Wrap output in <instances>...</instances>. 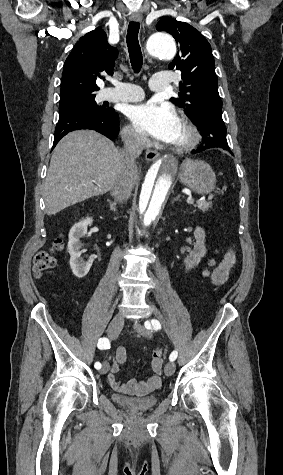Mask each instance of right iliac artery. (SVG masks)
I'll list each match as a JSON object with an SVG mask.
<instances>
[{"mask_svg":"<svg viewBox=\"0 0 283 475\" xmlns=\"http://www.w3.org/2000/svg\"><path fill=\"white\" fill-rule=\"evenodd\" d=\"M98 348L99 349H109L110 348V343H109V340L107 338H100L99 341H98V344H97ZM94 367L96 369H100L101 368V363L100 362H96Z\"/></svg>","mask_w":283,"mask_h":475,"instance_id":"1","label":"right iliac artery"}]
</instances>
